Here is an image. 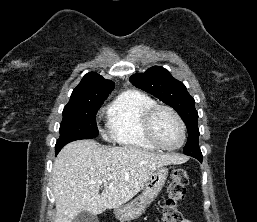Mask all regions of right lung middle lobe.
Returning a JSON list of instances; mask_svg holds the SVG:
<instances>
[{"mask_svg": "<svg viewBox=\"0 0 257 222\" xmlns=\"http://www.w3.org/2000/svg\"><path fill=\"white\" fill-rule=\"evenodd\" d=\"M105 99L106 97H98L69 101L63 110L60 137L55 145V151L61 150L69 142L98 136L96 114Z\"/></svg>", "mask_w": 257, "mask_h": 222, "instance_id": "right-lung-middle-lobe-1", "label": "right lung middle lobe"}]
</instances>
